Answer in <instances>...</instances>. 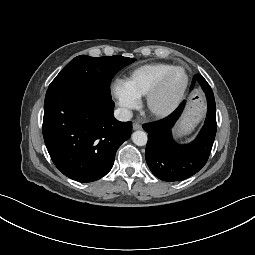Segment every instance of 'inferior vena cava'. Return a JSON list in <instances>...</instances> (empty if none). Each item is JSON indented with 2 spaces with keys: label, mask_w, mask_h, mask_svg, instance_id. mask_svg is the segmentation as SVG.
Instances as JSON below:
<instances>
[{
  "label": "inferior vena cava",
  "mask_w": 255,
  "mask_h": 255,
  "mask_svg": "<svg viewBox=\"0 0 255 255\" xmlns=\"http://www.w3.org/2000/svg\"><path fill=\"white\" fill-rule=\"evenodd\" d=\"M114 116L117 120L126 122L132 118L133 114L126 108H118L114 111Z\"/></svg>",
  "instance_id": "1"
}]
</instances>
